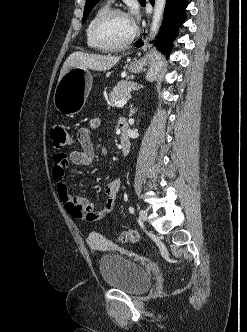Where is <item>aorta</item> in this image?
<instances>
[{
	"label": "aorta",
	"instance_id": "1",
	"mask_svg": "<svg viewBox=\"0 0 247 332\" xmlns=\"http://www.w3.org/2000/svg\"><path fill=\"white\" fill-rule=\"evenodd\" d=\"M166 0H155L152 23L150 28V38H154L159 30L161 19L163 16Z\"/></svg>",
	"mask_w": 247,
	"mask_h": 332
}]
</instances>
